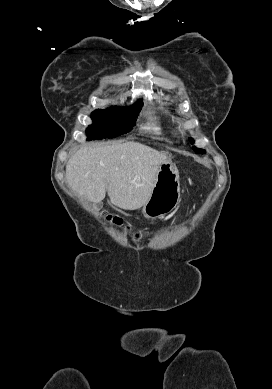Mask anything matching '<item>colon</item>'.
Returning <instances> with one entry per match:
<instances>
[{
	"label": "colon",
	"mask_w": 272,
	"mask_h": 389,
	"mask_svg": "<svg viewBox=\"0 0 272 389\" xmlns=\"http://www.w3.org/2000/svg\"><path fill=\"white\" fill-rule=\"evenodd\" d=\"M109 219H111L109 217ZM112 221L115 223V224H121V221L118 219V218H113ZM137 236V234H135V237Z\"/></svg>",
	"instance_id": "obj_1"
}]
</instances>
